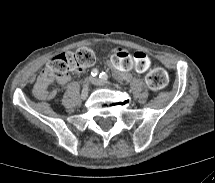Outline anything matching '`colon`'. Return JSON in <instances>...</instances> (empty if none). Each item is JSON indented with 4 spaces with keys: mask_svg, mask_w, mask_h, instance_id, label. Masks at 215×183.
I'll return each mask as SVG.
<instances>
[{
    "mask_svg": "<svg viewBox=\"0 0 215 183\" xmlns=\"http://www.w3.org/2000/svg\"><path fill=\"white\" fill-rule=\"evenodd\" d=\"M143 54L147 58L148 69L150 66V60L145 53ZM94 63L95 54L90 48L83 47L74 52H64L49 61L46 69L44 70L43 80L62 78L66 76L70 71H81L92 66ZM167 81V72L160 67L150 70L146 75V83L152 89L163 88L166 85Z\"/></svg>",
    "mask_w": 215,
    "mask_h": 183,
    "instance_id": "obj_1",
    "label": "colon"
}]
</instances>
